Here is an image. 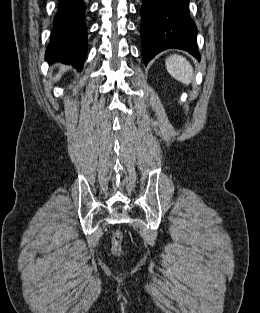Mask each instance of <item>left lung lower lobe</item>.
Listing matches in <instances>:
<instances>
[{"mask_svg":"<svg viewBox=\"0 0 260 313\" xmlns=\"http://www.w3.org/2000/svg\"><path fill=\"white\" fill-rule=\"evenodd\" d=\"M189 0H142L141 40L145 65L168 48L188 51L200 59L197 28L189 15Z\"/></svg>","mask_w":260,"mask_h":313,"instance_id":"1","label":"left lung lower lobe"}]
</instances>
